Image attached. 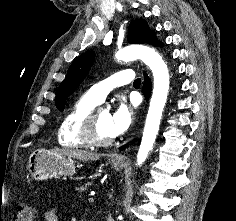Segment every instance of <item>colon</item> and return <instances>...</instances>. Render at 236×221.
Returning a JSON list of instances; mask_svg holds the SVG:
<instances>
[{"mask_svg": "<svg viewBox=\"0 0 236 221\" xmlns=\"http://www.w3.org/2000/svg\"><path fill=\"white\" fill-rule=\"evenodd\" d=\"M35 209L28 204H21L17 207L14 221H34Z\"/></svg>", "mask_w": 236, "mask_h": 221, "instance_id": "5ec220e1", "label": "colon"}]
</instances>
